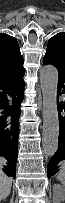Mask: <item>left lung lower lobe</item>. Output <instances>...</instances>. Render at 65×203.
Segmentation results:
<instances>
[{
  "label": "left lung lower lobe",
  "instance_id": "0a47b994",
  "mask_svg": "<svg viewBox=\"0 0 65 203\" xmlns=\"http://www.w3.org/2000/svg\"><path fill=\"white\" fill-rule=\"evenodd\" d=\"M43 64H51L58 70V88L57 97L62 94L65 95V68L58 65V63L48 54H45L43 58ZM58 115H59V139L58 150L51 158L47 167V176L50 178L61 170L62 163L65 164V101L58 103ZM62 161V162H61ZM59 162H61L59 164Z\"/></svg>",
  "mask_w": 65,
  "mask_h": 203
}]
</instances>
